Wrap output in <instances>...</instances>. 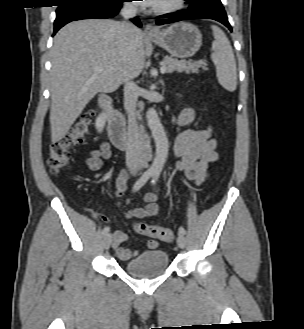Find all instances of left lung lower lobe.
<instances>
[{
  "label": "left lung lower lobe",
  "instance_id": "obj_1",
  "mask_svg": "<svg viewBox=\"0 0 304 329\" xmlns=\"http://www.w3.org/2000/svg\"><path fill=\"white\" fill-rule=\"evenodd\" d=\"M187 1V3L190 4L187 10L170 14L174 17L165 20H158L156 24L163 25L189 19H213L224 24L226 27H228L230 31H232V28L228 22L226 12L220 0Z\"/></svg>",
  "mask_w": 304,
  "mask_h": 329
}]
</instances>
